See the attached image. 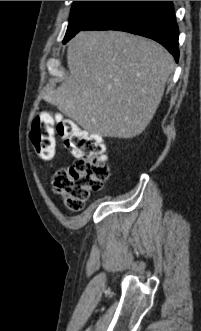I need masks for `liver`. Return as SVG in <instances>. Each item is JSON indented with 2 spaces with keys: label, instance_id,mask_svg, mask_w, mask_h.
Here are the masks:
<instances>
[{
  "label": "liver",
  "instance_id": "liver-1",
  "mask_svg": "<svg viewBox=\"0 0 201 331\" xmlns=\"http://www.w3.org/2000/svg\"><path fill=\"white\" fill-rule=\"evenodd\" d=\"M174 64L145 37L81 31L68 43L69 75L44 99L92 134L133 138L155 115Z\"/></svg>",
  "mask_w": 201,
  "mask_h": 331
}]
</instances>
